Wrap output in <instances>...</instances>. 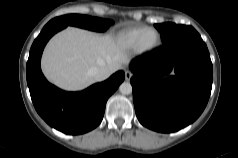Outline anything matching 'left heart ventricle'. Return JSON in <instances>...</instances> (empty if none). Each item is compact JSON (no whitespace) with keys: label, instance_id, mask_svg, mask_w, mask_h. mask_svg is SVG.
<instances>
[{"label":"left heart ventricle","instance_id":"obj_1","mask_svg":"<svg viewBox=\"0 0 238 158\" xmlns=\"http://www.w3.org/2000/svg\"><path fill=\"white\" fill-rule=\"evenodd\" d=\"M157 39L156 33L153 31H150L146 34L144 38L145 45H152Z\"/></svg>","mask_w":238,"mask_h":158}]
</instances>
